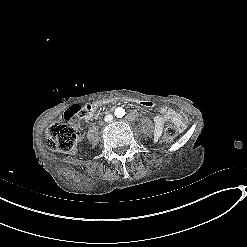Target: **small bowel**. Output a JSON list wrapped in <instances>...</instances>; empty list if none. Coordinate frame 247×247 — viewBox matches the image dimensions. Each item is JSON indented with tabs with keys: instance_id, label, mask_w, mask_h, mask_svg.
Masks as SVG:
<instances>
[{
	"instance_id": "obj_1",
	"label": "small bowel",
	"mask_w": 247,
	"mask_h": 247,
	"mask_svg": "<svg viewBox=\"0 0 247 247\" xmlns=\"http://www.w3.org/2000/svg\"><path fill=\"white\" fill-rule=\"evenodd\" d=\"M160 112L161 114L156 115L154 117L155 134L157 136L161 135L164 126L168 122H172L176 124L180 129L184 127L185 122H184V117L181 112H178L173 109L166 108V107H162L160 109ZM91 115L87 118V120L91 118Z\"/></svg>"
}]
</instances>
